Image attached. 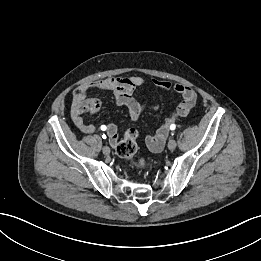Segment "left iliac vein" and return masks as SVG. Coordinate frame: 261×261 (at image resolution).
Here are the masks:
<instances>
[{"label": "left iliac vein", "mask_w": 261, "mask_h": 261, "mask_svg": "<svg viewBox=\"0 0 261 261\" xmlns=\"http://www.w3.org/2000/svg\"><path fill=\"white\" fill-rule=\"evenodd\" d=\"M177 146V143L175 141V139L171 138L168 142V148L169 150H174Z\"/></svg>", "instance_id": "obj_1"}]
</instances>
